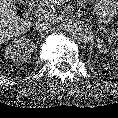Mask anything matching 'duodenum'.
<instances>
[{
	"instance_id": "duodenum-1",
	"label": "duodenum",
	"mask_w": 118,
	"mask_h": 118,
	"mask_svg": "<svg viewBox=\"0 0 118 118\" xmlns=\"http://www.w3.org/2000/svg\"><path fill=\"white\" fill-rule=\"evenodd\" d=\"M27 1H35V0H27Z\"/></svg>"
}]
</instances>
